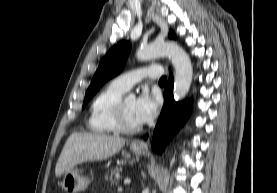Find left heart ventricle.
<instances>
[{
	"label": "left heart ventricle",
	"instance_id": "left-heart-ventricle-1",
	"mask_svg": "<svg viewBox=\"0 0 277 193\" xmlns=\"http://www.w3.org/2000/svg\"><path fill=\"white\" fill-rule=\"evenodd\" d=\"M134 104H135V99L126 98L124 100V112H125L126 120L129 124L138 125L140 123L135 117Z\"/></svg>",
	"mask_w": 277,
	"mask_h": 193
}]
</instances>
